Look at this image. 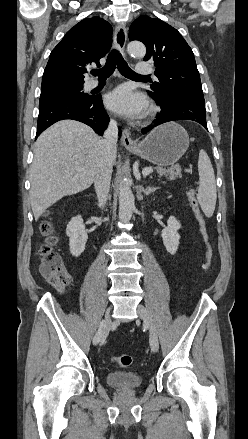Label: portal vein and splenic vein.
Segmentation results:
<instances>
[{"label":"portal vein and splenic vein","mask_w":248,"mask_h":439,"mask_svg":"<svg viewBox=\"0 0 248 439\" xmlns=\"http://www.w3.org/2000/svg\"><path fill=\"white\" fill-rule=\"evenodd\" d=\"M153 172V169L151 168V167H147V168H145L144 170H143V175L144 176H147V175H149L150 173H152Z\"/></svg>","instance_id":"portal-vein-and-splenic-vein-1"}]
</instances>
